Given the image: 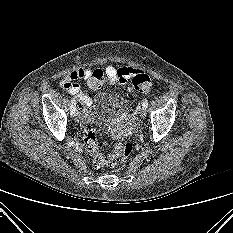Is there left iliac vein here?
<instances>
[{
	"mask_svg": "<svg viewBox=\"0 0 233 233\" xmlns=\"http://www.w3.org/2000/svg\"><path fill=\"white\" fill-rule=\"evenodd\" d=\"M139 114H140L141 118H145L146 117V109L143 107L140 108Z\"/></svg>",
	"mask_w": 233,
	"mask_h": 233,
	"instance_id": "left-iliac-vein-1",
	"label": "left iliac vein"
}]
</instances>
